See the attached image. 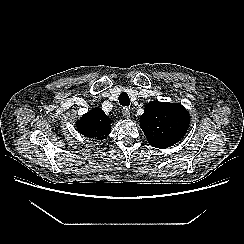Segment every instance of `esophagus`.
<instances>
[{
  "label": "esophagus",
  "instance_id": "esophagus-1",
  "mask_svg": "<svg viewBox=\"0 0 244 244\" xmlns=\"http://www.w3.org/2000/svg\"><path fill=\"white\" fill-rule=\"evenodd\" d=\"M122 115H123L124 118L128 119L130 117V110L127 107H124L122 109Z\"/></svg>",
  "mask_w": 244,
  "mask_h": 244
}]
</instances>
